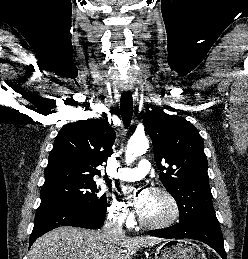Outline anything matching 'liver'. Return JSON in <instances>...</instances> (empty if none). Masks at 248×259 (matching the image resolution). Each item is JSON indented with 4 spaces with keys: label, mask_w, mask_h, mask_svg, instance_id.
Instances as JSON below:
<instances>
[{
    "label": "liver",
    "mask_w": 248,
    "mask_h": 259,
    "mask_svg": "<svg viewBox=\"0 0 248 259\" xmlns=\"http://www.w3.org/2000/svg\"><path fill=\"white\" fill-rule=\"evenodd\" d=\"M162 241L153 236H110L104 230L62 226L38 238L29 259H131L140 247Z\"/></svg>",
    "instance_id": "1"
}]
</instances>
